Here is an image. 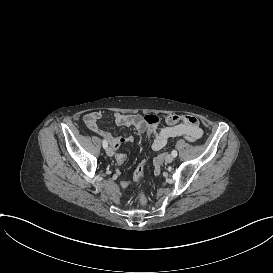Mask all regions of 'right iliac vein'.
Returning a JSON list of instances; mask_svg holds the SVG:
<instances>
[{"label":"right iliac vein","instance_id":"1","mask_svg":"<svg viewBox=\"0 0 273 273\" xmlns=\"http://www.w3.org/2000/svg\"><path fill=\"white\" fill-rule=\"evenodd\" d=\"M106 154L110 157L113 156L114 154L113 149L111 147L106 148Z\"/></svg>","mask_w":273,"mask_h":273}]
</instances>
